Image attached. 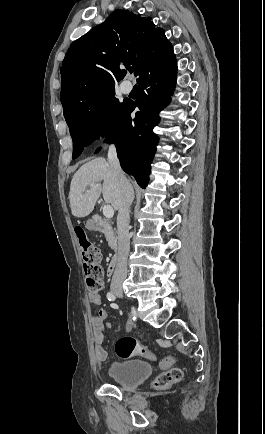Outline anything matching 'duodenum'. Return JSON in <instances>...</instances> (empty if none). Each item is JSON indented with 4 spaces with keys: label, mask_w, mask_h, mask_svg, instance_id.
I'll use <instances>...</instances> for the list:
<instances>
[{
    "label": "duodenum",
    "mask_w": 265,
    "mask_h": 434,
    "mask_svg": "<svg viewBox=\"0 0 265 434\" xmlns=\"http://www.w3.org/2000/svg\"><path fill=\"white\" fill-rule=\"evenodd\" d=\"M96 230L100 231V232H105V233H108V234L111 235L112 231H113V228L110 225L106 224V223L96 222ZM117 265H118V256L115 254L111 258V260H110V262H109V264L107 266V273L109 275H113L114 272H115V270H116V268H117Z\"/></svg>",
    "instance_id": "obj_1"
}]
</instances>
